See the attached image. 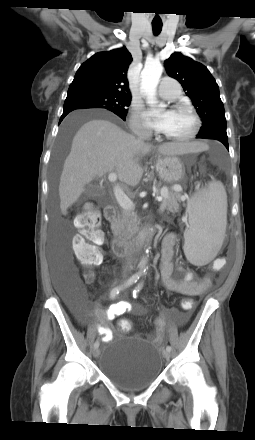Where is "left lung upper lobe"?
Returning <instances> with one entry per match:
<instances>
[{
  "label": "left lung upper lobe",
  "mask_w": 255,
  "mask_h": 440,
  "mask_svg": "<svg viewBox=\"0 0 255 440\" xmlns=\"http://www.w3.org/2000/svg\"><path fill=\"white\" fill-rule=\"evenodd\" d=\"M164 64L169 76L181 83L202 118L203 126L197 137L228 139L219 87L209 70L179 52L173 53Z\"/></svg>",
  "instance_id": "5c2ea615"
}]
</instances>
